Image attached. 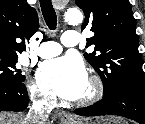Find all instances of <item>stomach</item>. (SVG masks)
Listing matches in <instances>:
<instances>
[{
    "instance_id": "1",
    "label": "stomach",
    "mask_w": 145,
    "mask_h": 124,
    "mask_svg": "<svg viewBox=\"0 0 145 124\" xmlns=\"http://www.w3.org/2000/svg\"><path fill=\"white\" fill-rule=\"evenodd\" d=\"M69 124H122V121L121 119L116 117H105L98 118L96 120L91 119L75 120L70 122Z\"/></svg>"
}]
</instances>
